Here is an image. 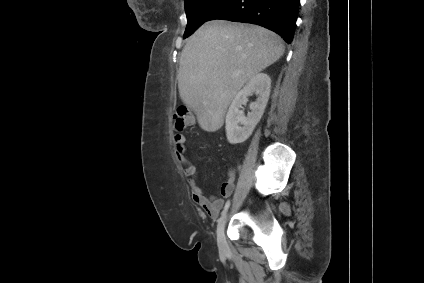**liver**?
Instances as JSON below:
<instances>
[{
	"label": "liver",
	"mask_w": 424,
	"mask_h": 283,
	"mask_svg": "<svg viewBox=\"0 0 424 283\" xmlns=\"http://www.w3.org/2000/svg\"><path fill=\"white\" fill-rule=\"evenodd\" d=\"M279 35L265 27L214 20L203 24L184 46L178 89L199 126L215 132L243 85L284 54Z\"/></svg>",
	"instance_id": "liver-1"
}]
</instances>
